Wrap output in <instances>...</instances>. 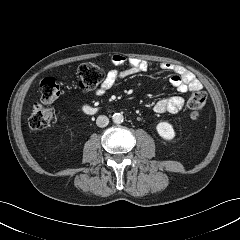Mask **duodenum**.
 <instances>
[{"label":"duodenum","mask_w":240,"mask_h":240,"mask_svg":"<svg viewBox=\"0 0 240 240\" xmlns=\"http://www.w3.org/2000/svg\"><path fill=\"white\" fill-rule=\"evenodd\" d=\"M83 110L86 113H93V112H95V108L92 105H90V104H85L83 106Z\"/></svg>","instance_id":"duodenum-1"}]
</instances>
